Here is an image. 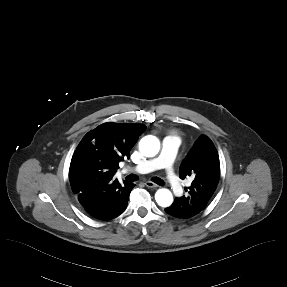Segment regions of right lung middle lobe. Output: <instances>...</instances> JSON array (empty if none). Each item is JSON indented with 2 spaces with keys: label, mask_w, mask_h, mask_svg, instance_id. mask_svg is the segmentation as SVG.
I'll list each match as a JSON object with an SVG mask.
<instances>
[{
  "label": "right lung middle lobe",
  "mask_w": 287,
  "mask_h": 287,
  "mask_svg": "<svg viewBox=\"0 0 287 287\" xmlns=\"http://www.w3.org/2000/svg\"><path fill=\"white\" fill-rule=\"evenodd\" d=\"M76 176L80 180L92 181L98 178H105L107 171L99 161L80 164L76 169Z\"/></svg>",
  "instance_id": "dd1d6c3e"
}]
</instances>
